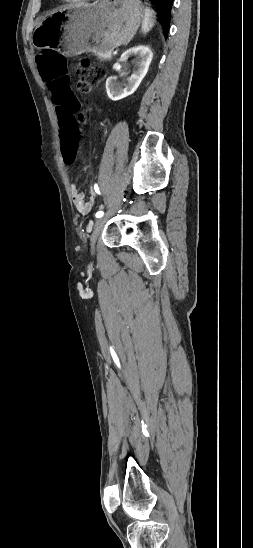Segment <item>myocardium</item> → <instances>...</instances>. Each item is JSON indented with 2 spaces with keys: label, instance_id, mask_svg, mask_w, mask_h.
Returning a JSON list of instances; mask_svg holds the SVG:
<instances>
[{
  "label": "myocardium",
  "instance_id": "obj_1",
  "mask_svg": "<svg viewBox=\"0 0 253 548\" xmlns=\"http://www.w3.org/2000/svg\"><path fill=\"white\" fill-rule=\"evenodd\" d=\"M63 1L77 3V2H82V1H85V0H63Z\"/></svg>",
  "mask_w": 253,
  "mask_h": 548
}]
</instances>
